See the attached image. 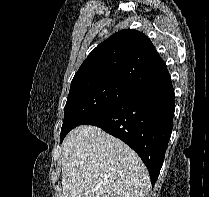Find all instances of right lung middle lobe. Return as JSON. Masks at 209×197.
Instances as JSON below:
<instances>
[{
    "instance_id": "obj_1",
    "label": "right lung middle lobe",
    "mask_w": 209,
    "mask_h": 197,
    "mask_svg": "<svg viewBox=\"0 0 209 197\" xmlns=\"http://www.w3.org/2000/svg\"><path fill=\"white\" fill-rule=\"evenodd\" d=\"M136 91V88L114 80H89L71 84L64 108L61 141L70 130Z\"/></svg>"
}]
</instances>
